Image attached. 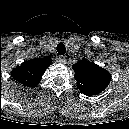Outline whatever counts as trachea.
<instances>
[{"instance_id":"obj_1","label":"trachea","mask_w":129,"mask_h":129,"mask_svg":"<svg viewBox=\"0 0 129 129\" xmlns=\"http://www.w3.org/2000/svg\"><path fill=\"white\" fill-rule=\"evenodd\" d=\"M57 52L59 55H64L66 53V48H65V45L63 43H59L57 45Z\"/></svg>"}]
</instances>
